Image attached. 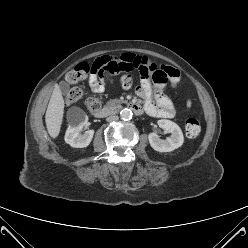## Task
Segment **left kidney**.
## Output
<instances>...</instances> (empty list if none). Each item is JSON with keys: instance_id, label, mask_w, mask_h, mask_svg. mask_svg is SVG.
<instances>
[{"instance_id": "obj_1", "label": "left kidney", "mask_w": 248, "mask_h": 248, "mask_svg": "<svg viewBox=\"0 0 248 248\" xmlns=\"http://www.w3.org/2000/svg\"><path fill=\"white\" fill-rule=\"evenodd\" d=\"M158 125L160 128L170 132L171 136L166 140H162L156 133H150L148 139L154 150L158 152H171L182 146L184 136L180 127L175 122L161 119L158 121Z\"/></svg>"}]
</instances>
